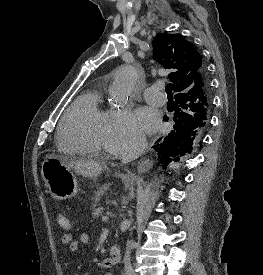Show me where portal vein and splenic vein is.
Here are the masks:
<instances>
[{"label":"portal vein and splenic vein","instance_id":"18ae733b","mask_svg":"<svg viewBox=\"0 0 263 275\" xmlns=\"http://www.w3.org/2000/svg\"><path fill=\"white\" fill-rule=\"evenodd\" d=\"M108 219H109L108 216H103L102 217V221H108Z\"/></svg>","mask_w":263,"mask_h":275}]
</instances>
